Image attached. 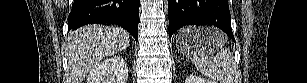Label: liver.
Instances as JSON below:
<instances>
[{
	"label": "liver",
	"mask_w": 307,
	"mask_h": 83,
	"mask_svg": "<svg viewBox=\"0 0 307 83\" xmlns=\"http://www.w3.org/2000/svg\"><path fill=\"white\" fill-rule=\"evenodd\" d=\"M129 34L120 27L88 25L69 33L66 39L68 77L66 83H82L103 58L129 46Z\"/></svg>",
	"instance_id": "obj_1"
}]
</instances>
